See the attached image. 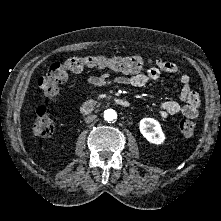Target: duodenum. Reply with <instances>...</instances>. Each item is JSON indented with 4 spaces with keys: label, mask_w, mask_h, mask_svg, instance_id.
<instances>
[{
    "label": "duodenum",
    "mask_w": 221,
    "mask_h": 221,
    "mask_svg": "<svg viewBox=\"0 0 221 221\" xmlns=\"http://www.w3.org/2000/svg\"><path fill=\"white\" fill-rule=\"evenodd\" d=\"M109 100L113 102L114 104L119 105L124 108H128L130 106V102L125 98L113 97ZM97 105H98V102L96 100H88L81 105L80 111L83 114H91L96 109Z\"/></svg>",
    "instance_id": "duodenum-1"
}]
</instances>
